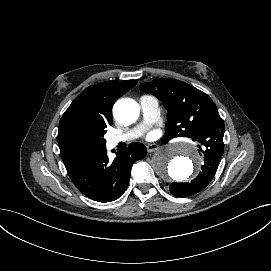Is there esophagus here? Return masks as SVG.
<instances>
[{
  "mask_svg": "<svg viewBox=\"0 0 271 271\" xmlns=\"http://www.w3.org/2000/svg\"><path fill=\"white\" fill-rule=\"evenodd\" d=\"M148 152H155L158 150L159 146L156 143H150L146 146Z\"/></svg>",
  "mask_w": 271,
  "mask_h": 271,
  "instance_id": "34e87169",
  "label": "esophagus"
}]
</instances>
